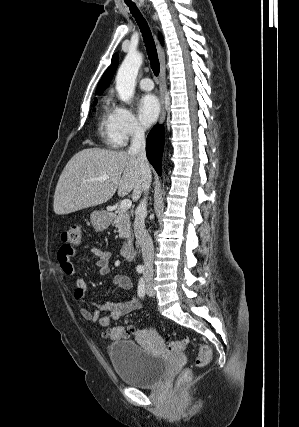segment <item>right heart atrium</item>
<instances>
[{"mask_svg":"<svg viewBox=\"0 0 299 427\" xmlns=\"http://www.w3.org/2000/svg\"><path fill=\"white\" fill-rule=\"evenodd\" d=\"M143 134L144 129L128 107L121 104L112 106L111 136L117 146H124Z\"/></svg>","mask_w":299,"mask_h":427,"instance_id":"right-heart-atrium-1","label":"right heart atrium"}]
</instances>
